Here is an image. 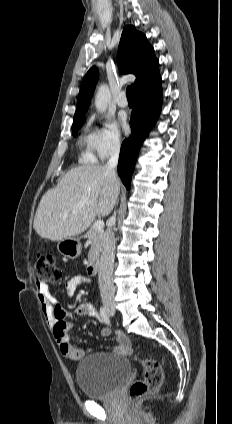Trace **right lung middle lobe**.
<instances>
[{
  "label": "right lung middle lobe",
  "instance_id": "1",
  "mask_svg": "<svg viewBox=\"0 0 232 424\" xmlns=\"http://www.w3.org/2000/svg\"><path fill=\"white\" fill-rule=\"evenodd\" d=\"M84 122H85V118L74 120L73 125H72L73 136H76L78 128L81 127L84 124Z\"/></svg>",
  "mask_w": 232,
  "mask_h": 424
}]
</instances>
